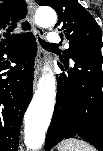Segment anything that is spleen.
Wrapping results in <instances>:
<instances>
[{
	"label": "spleen",
	"instance_id": "1",
	"mask_svg": "<svg viewBox=\"0 0 103 151\" xmlns=\"http://www.w3.org/2000/svg\"><path fill=\"white\" fill-rule=\"evenodd\" d=\"M58 151H96V150L88 143L82 140L71 138L62 141L58 146Z\"/></svg>",
	"mask_w": 103,
	"mask_h": 151
}]
</instances>
